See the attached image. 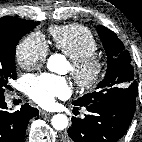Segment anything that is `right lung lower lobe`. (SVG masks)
I'll use <instances>...</instances> for the list:
<instances>
[{
  "mask_svg": "<svg viewBox=\"0 0 142 142\" xmlns=\"http://www.w3.org/2000/svg\"><path fill=\"white\" fill-rule=\"evenodd\" d=\"M4 96H0V142H23L29 120L38 115L37 108L27 103L9 112Z\"/></svg>",
  "mask_w": 142,
  "mask_h": 142,
  "instance_id": "right-lung-lower-lobe-1",
  "label": "right lung lower lobe"
}]
</instances>
